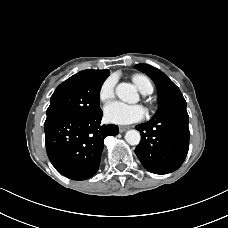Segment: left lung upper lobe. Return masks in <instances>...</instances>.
Segmentation results:
<instances>
[{
  "label": "left lung upper lobe",
  "instance_id": "obj_1",
  "mask_svg": "<svg viewBox=\"0 0 228 228\" xmlns=\"http://www.w3.org/2000/svg\"><path fill=\"white\" fill-rule=\"evenodd\" d=\"M135 68L146 73L154 81L158 90L159 109L151 120L157 119L177 105L186 104L179 88L159 69L148 64H137Z\"/></svg>",
  "mask_w": 228,
  "mask_h": 228
}]
</instances>
